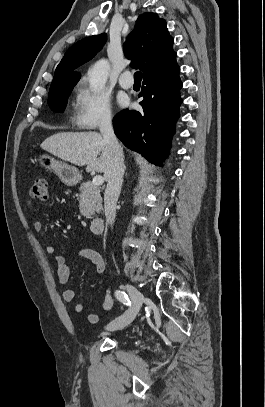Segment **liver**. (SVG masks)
<instances>
[{
	"label": "liver",
	"mask_w": 265,
	"mask_h": 407,
	"mask_svg": "<svg viewBox=\"0 0 265 407\" xmlns=\"http://www.w3.org/2000/svg\"><path fill=\"white\" fill-rule=\"evenodd\" d=\"M41 148L74 165H86L87 171L103 173L106 181L112 172V149L95 131L57 133L45 139Z\"/></svg>",
	"instance_id": "1"
}]
</instances>
